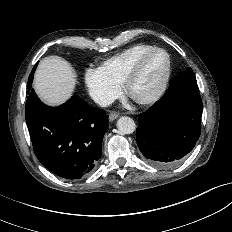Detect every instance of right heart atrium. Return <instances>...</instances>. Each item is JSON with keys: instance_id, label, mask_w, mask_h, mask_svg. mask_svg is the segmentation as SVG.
<instances>
[{"instance_id": "obj_1", "label": "right heart atrium", "mask_w": 232, "mask_h": 232, "mask_svg": "<svg viewBox=\"0 0 232 232\" xmlns=\"http://www.w3.org/2000/svg\"><path fill=\"white\" fill-rule=\"evenodd\" d=\"M84 81L90 96L99 105H108L120 94V84L110 78L101 68H88Z\"/></svg>"}]
</instances>
